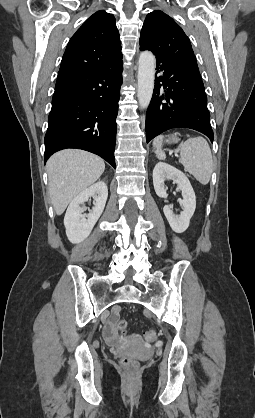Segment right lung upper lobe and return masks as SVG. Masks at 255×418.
Here are the masks:
<instances>
[{
  "label": "right lung upper lobe",
  "mask_w": 255,
  "mask_h": 418,
  "mask_svg": "<svg viewBox=\"0 0 255 418\" xmlns=\"http://www.w3.org/2000/svg\"><path fill=\"white\" fill-rule=\"evenodd\" d=\"M121 62V42L115 18L102 10L90 16L68 42L58 77Z\"/></svg>",
  "instance_id": "1"
}]
</instances>
